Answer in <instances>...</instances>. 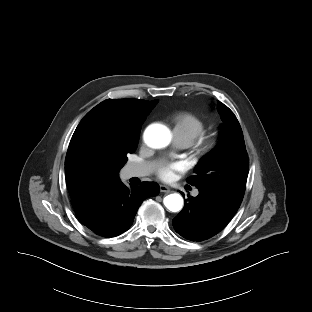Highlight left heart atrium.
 Instances as JSON below:
<instances>
[{"label":"left heart atrium","mask_w":312,"mask_h":312,"mask_svg":"<svg viewBox=\"0 0 312 312\" xmlns=\"http://www.w3.org/2000/svg\"><path fill=\"white\" fill-rule=\"evenodd\" d=\"M185 168L182 162L164 163L158 170V176L164 181H171L175 177V172L184 171Z\"/></svg>","instance_id":"left-heart-atrium-1"}]
</instances>
